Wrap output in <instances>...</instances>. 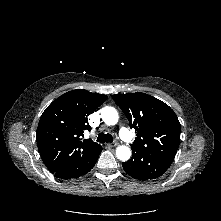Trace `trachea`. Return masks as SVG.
Returning a JSON list of instances; mask_svg holds the SVG:
<instances>
[{"label": "trachea", "mask_w": 221, "mask_h": 221, "mask_svg": "<svg viewBox=\"0 0 221 221\" xmlns=\"http://www.w3.org/2000/svg\"><path fill=\"white\" fill-rule=\"evenodd\" d=\"M97 142H100V143H104V142H107V143H111L113 142V137L112 135L110 134H105V133H99L98 134V138H97Z\"/></svg>", "instance_id": "trachea-1"}]
</instances>
